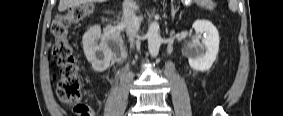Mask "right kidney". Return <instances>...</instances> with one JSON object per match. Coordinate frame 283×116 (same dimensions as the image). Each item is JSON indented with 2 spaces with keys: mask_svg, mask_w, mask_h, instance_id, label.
I'll list each match as a JSON object with an SVG mask.
<instances>
[{
  "mask_svg": "<svg viewBox=\"0 0 283 116\" xmlns=\"http://www.w3.org/2000/svg\"><path fill=\"white\" fill-rule=\"evenodd\" d=\"M83 50L87 60L96 72H104L110 62L117 58L121 41L112 30L106 29L101 33L99 25L90 27L82 38Z\"/></svg>",
  "mask_w": 283,
  "mask_h": 116,
  "instance_id": "ca27d5eb",
  "label": "right kidney"
}]
</instances>
